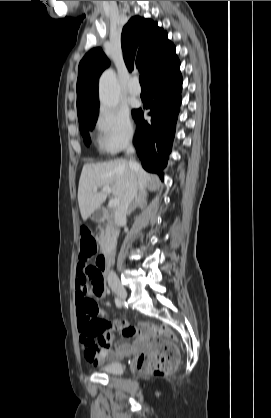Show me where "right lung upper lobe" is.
I'll use <instances>...</instances> for the list:
<instances>
[{"label":"right lung upper lobe","instance_id":"obj_1","mask_svg":"<svg viewBox=\"0 0 271 418\" xmlns=\"http://www.w3.org/2000/svg\"><path fill=\"white\" fill-rule=\"evenodd\" d=\"M121 41L127 68L130 71L138 68L145 81L177 60L175 46L153 20L132 17L123 28ZM108 66L100 48L90 50L81 60L77 79L78 116L99 106L98 79Z\"/></svg>","mask_w":271,"mask_h":418}]
</instances>
